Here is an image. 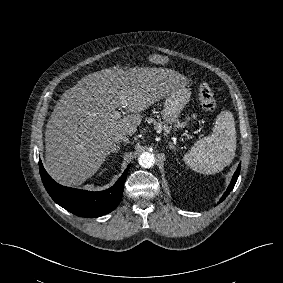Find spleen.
I'll use <instances>...</instances> for the list:
<instances>
[{
    "mask_svg": "<svg viewBox=\"0 0 283 283\" xmlns=\"http://www.w3.org/2000/svg\"><path fill=\"white\" fill-rule=\"evenodd\" d=\"M236 138L233 114L227 110L222 111L216 118L212 135L197 141L183 160L199 173H218L233 161Z\"/></svg>",
    "mask_w": 283,
    "mask_h": 283,
    "instance_id": "3e777b00",
    "label": "spleen"
}]
</instances>
